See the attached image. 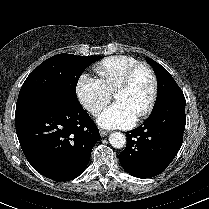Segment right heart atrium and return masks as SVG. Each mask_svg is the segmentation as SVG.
Segmentation results:
<instances>
[{
	"label": "right heart atrium",
	"mask_w": 209,
	"mask_h": 209,
	"mask_svg": "<svg viewBox=\"0 0 209 209\" xmlns=\"http://www.w3.org/2000/svg\"><path fill=\"white\" fill-rule=\"evenodd\" d=\"M76 93L84 108L91 114H98L110 101L112 92L97 77L81 74L76 86Z\"/></svg>",
	"instance_id": "1"
}]
</instances>
